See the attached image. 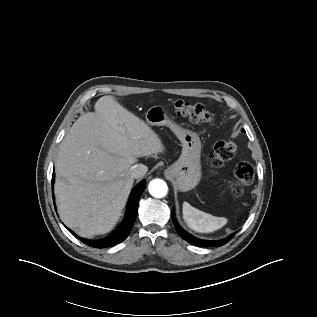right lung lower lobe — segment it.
I'll list each match as a JSON object with an SVG mask.
<instances>
[{
    "mask_svg": "<svg viewBox=\"0 0 317 317\" xmlns=\"http://www.w3.org/2000/svg\"><path fill=\"white\" fill-rule=\"evenodd\" d=\"M53 175H54V173H53ZM53 184H54V178H52V189H53ZM145 185H146V182L142 181L133 189V191L130 195L128 206H127V213H126L125 219L123 220L122 224L117 228L116 231H114L111 235H109L108 237L101 239V240L93 241V240H88V239H84V238H80V240L83 243H85L91 247H94V248L110 247V246L116 245V244L122 242L123 240H125L128 237V235H129V233L134 225V222L136 220L138 202H139V199H140V197L145 189ZM68 230L75 237H77V235L72 230H70V229H68Z\"/></svg>",
    "mask_w": 317,
    "mask_h": 317,
    "instance_id": "98d812e1",
    "label": "right lung lower lobe"
}]
</instances>
